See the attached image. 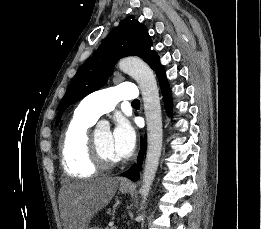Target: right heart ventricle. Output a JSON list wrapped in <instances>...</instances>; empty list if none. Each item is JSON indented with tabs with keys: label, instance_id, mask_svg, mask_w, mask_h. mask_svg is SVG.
Listing matches in <instances>:
<instances>
[{
	"label": "right heart ventricle",
	"instance_id": "right-heart-ventricle-1",
	"mask_svg": "<svg viewBox=\"0 0 261 229\" xmlns=\"http://www.w3.org/2000/svg\"><path fill=\"white\" fill-rule=\"evenodd\" d=\"M95 121L85 116L79 105L59 142L61 163L65 171L74 176H93L100 170L93 155V142L89 129Z\"/></svg>",
	"mask_w": 261,
	"mask_h": 229
}]
</instances>
